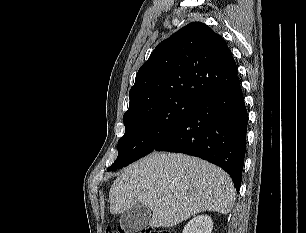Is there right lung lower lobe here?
I'll list each match as a JSON object with an SVG mask.
<instances>
[{"label":"right lung lower lobe","instance_id":"98d812e1","mask_svg":"<svg viewBox=\"0 0 306 233\" xmlns=\"http://www.w3.org/2000/svg\"><path fill=\"white\" fill-rule=\"evenodd\" d=\"M247 121L239 81L199 104L153 151L185 153L207 160L225 170L239 191Z\"/></svg>","mask_w":306,"mask_h":233}]
</instances>
